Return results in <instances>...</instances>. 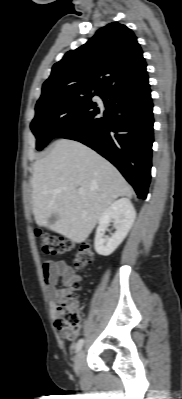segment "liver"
<instances>
[{
    "label": "liver",
    "instance_id": "1",
    "mask_svg": "<svg viewBox=\"0 0 182 399\" xmlns=\"http://www.w3.org/2000/svg\"><path fill=\"white\" fill-rule=\"evenodd\" d=\"M32 199L36 224L75 243L85 241L102 213L133 190L119 171L80 142L59 139L33 165ZM79 188L85 193L80 194ZM57 215L49 223L51 215Z\"/></svg>",
    "mask_w": 182,
    "mask_h": 399
}]
</instances>
